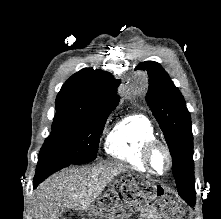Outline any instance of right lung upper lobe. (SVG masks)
Here are the masks:
<instances>
[{
	"label": "right lung upper lobe",
	"instance_id": "right-lung-upper-lobe-1",
	"mask_svg": "<svg viewBox=\"0 0 221 219\" xmlns=\"http://www.w3.org/2000/svg\"><path fill=\"white\" fill-rule=\"evenodd\" d=\"M116 80L110 73L85 68L71 76L56 98V111L78 116L111 113L119 102Z\"/></svg>",
	"mask_w": 221,
	"mask_h": 219
}]
</instances>
